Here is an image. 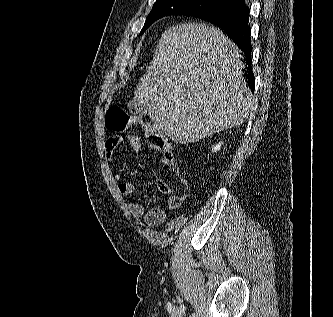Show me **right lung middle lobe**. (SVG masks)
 Returning <instances> with one entry per match:
<instances>
[{"mask_svg":"<svg viewBox=\"0 0 333 317\" xmlns=\"http://www.w3.org/2000/svg\"><path fill=\"white\" fill-rule=\"evenodd\" d=\"M229 3L228 0H156L151 12L146 18L141 33L162 17L171 15L195 16Z\"/></svg>","mask_w":333,"mask_h":317,"instance_id":"dd1d6c3e","label":"right lung middle lobe"}]
</instances>
